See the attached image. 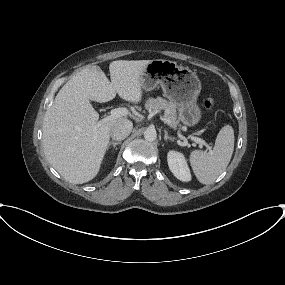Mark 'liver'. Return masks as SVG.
Instances as JSON below:
<instances>
[{
	"label": "liver",
	"mask_w": 285,
	"mask_h": 285,
	"mask_svg": "<svg viewBox=\"0 0 285 285\" xmlns=\"http://www.w3.org/2000/svg\"><path fill=\"white\" fill-rule=\"evenodd\" d=\"M150 61L111 62V82L99 66H88L60 89L44 116L42 144L49 163L68 182L83 184L96 177L111 127L124 119L99 121L90 101L104 103L118 94L126 101L140 102V78Z\"/></svg>",
	"instance_id": "obj_1"
}]
</instances>
